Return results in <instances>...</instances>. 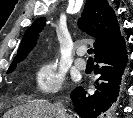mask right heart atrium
Returning <instances> with one entry per match:
<instances>
[{
    "label": "right heart atrium",
    "instance_id": "obj_1",
    "mask_svg": "<svg viewBox=\"0 0 133 118\" xmlns=\"http://www.w3.org/2000/svg\"><path fill=\"white\" fill-rule=\"evenodd\" d=\"M36 90L47 96L60 91L64 85V73L54 59L39 63L35 71Z\"/></svg>",
    "mask_w": 133,
    "mask_h": 118
}]
</instances>
